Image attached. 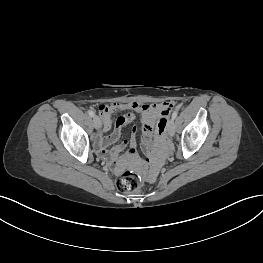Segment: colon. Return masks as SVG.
<instances>
[{"label": "colon", "instance_id": "obj_1", "mask_svg": "<svg viewBox=\"0 0 263 263\" xmlns=\"http://www.w3.org/2000/svg\"><path fill=\"white\" fill-rule=\"evenodd\" d=\"M164 110H165V105L163 103H155V104L152 102L138 103L137 101H130L128 104H114V103H109L108 105L99 104L95 107V112L97 114H113L114 112L137 114L145 111L163 112ZM166 127L168 128V125ZM162 156H163V152H162ZM162 163H163V158H162ZM116 186L121 192L124 193L135 192L138 191L141 187V178L136 172L132 170H125L116 180Z\"/></svg>", "mask_w": 263, "mask_h": 263}]
</instances>
